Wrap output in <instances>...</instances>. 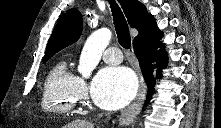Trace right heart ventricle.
<instances>
[{"instance_id":"e07e8e85","label":"right heart ventricle","mask_w":221,"mask_h":128,"mask_svg":"<svg viewBox=\"0 0 221 128\" xmlns=\"http://www.w3.org/2000/svg\"><path fill=\"white\" fill-rule=\"evenodd\" d=\"M77 76L66 59L56 61L50 68L43 87L42 108L53 115L71 113L78 101L75 90Z\"/></svg>"}]
</instances>
